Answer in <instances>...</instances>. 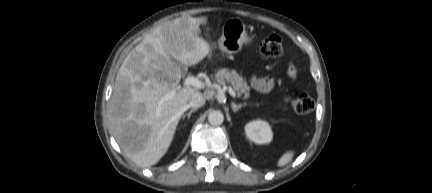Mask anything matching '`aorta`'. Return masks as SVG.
Returning <instances> with one entry per match:
<instances>
[{"label":"aorta","mask_w":432,"mask_h":193,"mask_svg":"<svg viewBox=\"0 0 432 193\" xmlns=\"http://www.w3.org/2000/svg\"><path fill=\"white\" fill-rule=\"evenodd\" d=\"M208 121L211 125H221L224 121V116L220 111L214 110L209 113Z\"/></svg>","instance_id":"aorta-1"}]
</instances>
